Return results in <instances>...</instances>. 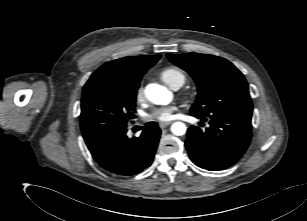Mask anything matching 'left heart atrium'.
Listing matches in <instances>:
<instances>
[{"label": "left heart atrium", "instance_id": "obj_1", "mask_svg": "<svg viewBox=\"0 0 307 221\" xmlns=\"http://www.w3.org/2000/svg\"><path fill=\"white\" fill-rule=\"evenodd\" d=\"M177 108L175 106H166L153 109L148 115L149 121L169 122L174 119Z\"/></svg>", "mask_w": 307, "mask_h": 221}]
</instances>
